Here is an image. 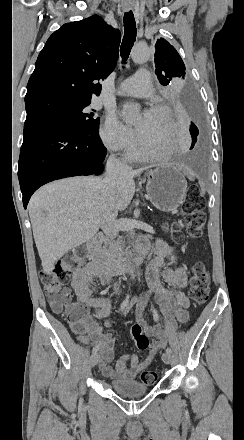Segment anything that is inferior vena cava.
I'll use <instances>...</instances> for the list:
<instances>
[{
  "label": "inferior vena cava",
  "instance_id": "obj_1",
  "mask_svg": "<svg viewBox=\"0 0 244 440\" xmlns=\"http://www.w3.org/2000/svg\"><path fill=\"white\" fill-rule=\"evenodd\" d=\"M130 170H132L130 166H126V164H122V162H119L116 156L112 154V156H109L107 160L105 178H103L102 180L103 186H108V188H115L120 178V174H127V172H130ZM117 216H118V210L113 200H111L107 210H104L102 214V220L100 224L106 236H111V238H116V236H118L119 230L116 224ZM115 292L116 294L118 292V288L116 284H115Z\"/></svg>",
  "mask_w": 244,
  "mask_h": 440
}]
</instances>
